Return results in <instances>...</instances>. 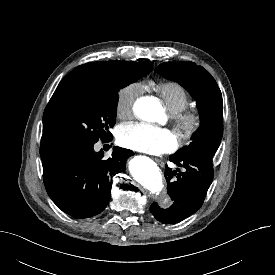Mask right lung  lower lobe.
<instances>
[{"label": "right lung lower lobe", "instance_id": "obj_1", "mask_svg": "<svg viewBox=\"0 0 275 275\" xmlns=\"http://www.w3.org/2000/svg\"><path fill=\"white\" fill-rule=\"evenodd\" d=\"M134 153L114 147L112 156L95 152L93 145L64 148L42 159L43 180L52 201L75 218L92 217L103 211L111 195L112 178L125 170Z\"/></svg>", "mask_w": 275, "mask_h": 275}]
</instances>
